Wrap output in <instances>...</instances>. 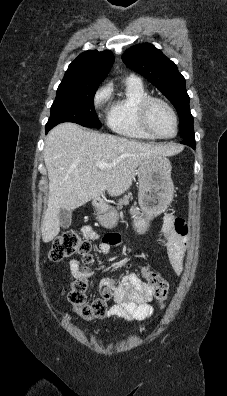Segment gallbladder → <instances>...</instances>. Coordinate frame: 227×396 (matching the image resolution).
Here are the masks:
<instances>
[{"label":"gallbladder","mask_w":227,"mask_h":396,"mask_svg":"<svg viewBox=\"0 0 227 396\" xmlns=\"http://www.w3.org/2000/svg\"><path fill=\"white\" fill-rule=\"evenodd\" d=\"M72 214L68 209H61L59 212V223L62 228H68L71 225Z\"/></svg>","instance_id":"1"}]
</instances>
